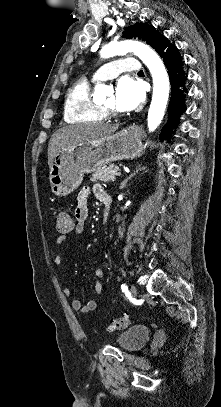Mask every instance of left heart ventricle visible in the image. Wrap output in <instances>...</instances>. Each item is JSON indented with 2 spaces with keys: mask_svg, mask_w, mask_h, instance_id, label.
Masks as SVG:
<instances>
[{
  "mask_svg": "<svg viewBox=\"0 0 221 407\" xmlns=\"http://www.w3.org/2000/svg\"><path fill=\"white\" fill-rule=\"evenodd\" d=\"M104 105L110 108H116L117 100L115 94H112L111 97L104 103Z\"/></svg>",
  "mask_w": 221,
  "mask_h": 407,
  "instance_id": "obj_1",
  "label": "left heart ventricle"
}]
</instances>
